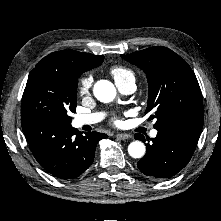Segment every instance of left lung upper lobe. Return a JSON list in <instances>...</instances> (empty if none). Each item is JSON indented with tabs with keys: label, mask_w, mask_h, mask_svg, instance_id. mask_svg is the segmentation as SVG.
I'll return each mask as SVG.
<instances>
[{
	"label": "left lung upper lobe",
	"mask_w": 221,
	"mask_h": 221,
	"mask_svg": "<svg viewBox=\"0 0 221 221\" xmlns=\"http://www.w3.org/2000/svg\"><path fill=\"white\" fill-rule=\"evenodd\" d=\"M143 69L149 84L145 113L155 118V129L173 124L203 126L201 90L190 66L172 50L152 47L121 56Z\"/></svg>",
	"instance_id": "1"
}]
</instances>
